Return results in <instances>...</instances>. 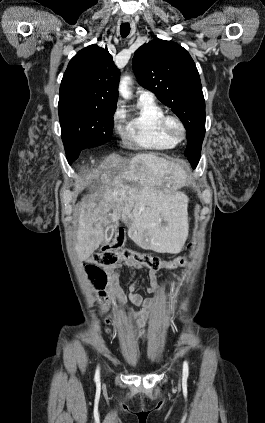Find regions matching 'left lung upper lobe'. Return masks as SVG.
Wrapping results in <instances>:
<instances>
[{"instance_id":"5c2ea615","label":"left lung upper lobe","mask_w":265,"mask_h":423,"mask_svg":"<svg viewBox=\"0 0 265 423\" xmlns=\"http://www.w3.org/2000/svg\"><path fill=\"white\" fill-rule=\"evenodd\" d=\"M133 69L139 84L169 106L184 124L185 156L195 168L205 135V101L193 59L179 44L155 39L135 52Z\"/></svg>"}]
</instances>
